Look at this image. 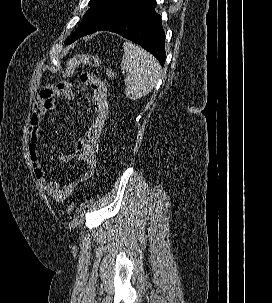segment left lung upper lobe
Segmentation results:
<instances>
[{
	"mask_svg": "<svg viewBox=\"0 0 272 303\" xmlns=\"http://www.w3.org/2000/svg\"><path fill=\"white\" fill-rule=\"evenodd\" d=\"M142 0H90V9L85 13L77 30L67 38L70 44L77 40L82 34L90 31L102 21L124 11Z\"/></svg>",
	"mask_w": 272,
	"mask_h": 303,
	"instance_id": "5c2ea615",
	"label": "left lung upper lobe"
}]
</instances>
